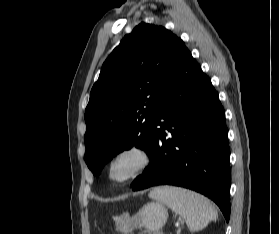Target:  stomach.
Listing matches in <instances>:
<instances>
[{"label":"stomach","mask_w":279,"mask_h":234,"mask_svg":"<svg viewBox=\"0 0 279 234\" xmlns=\"http://www.w3.org/2000/svg\"><path fill=\"white\" fill-rule=\"evenodd\" d=\"M167 218L168 212L162 203L150 202L133 216L128 213H122L113 217V220L117 225V229L127 234L139 225L156 232L166 223Z\"/></svg>","instance_id":"0dacf381"}]
</instances>
